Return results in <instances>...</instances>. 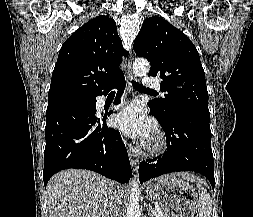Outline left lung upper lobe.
I'll list each match as a JSON object with an SVG mask.
<instances>
[{
  "label": "left lung upper lobe",
  "mask_w": 253,
  "mask_h": 217,
  "mask_svg": "<svg viewBox=\"0 0 253 217\" xmlns=\"http://www.w3.org/2000/svg\"><path fill=\"white\" fill-rule=\"evenodd\" d=\"M137 56L150 61V76L162 79L164 98L150 103L160 117L175 109L209 113L205 73L190 39L161 17L147 18L134 41Z\"/></svg>",
  "instance_id": "obj_1"
}]
</instances>
